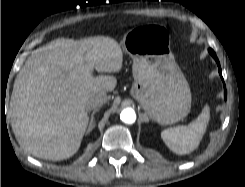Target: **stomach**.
<instances>
[{
    "mask_svg": "<svg viewBox=\"0 0 245 187\" xmlns=\"http://www.w3.org/2000/svg\"><path fill=\"white\" fill-rule=\"evenodd\" d=\"M122 46L133 59L131 95L151 119L169 125L191 109L189 84L170 51L166 27L147 24L126 33Z\"/></svg>",
    "mask_w": 245,
    "mask_h": 187,
    "instance_id": "1",
    "label": "stomach"
}]
</instances>
